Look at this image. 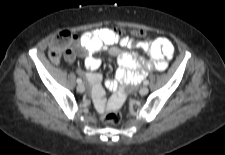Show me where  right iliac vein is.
I'll use <instances>...</instances> for the list:
<instances>
[{
	"label": "right iliac vein",
	"mask_w": 225,
	"mask_h": 155,
	"mask_svg": "<svg viewBox=\"0 0 225 155\" xmlns=\"http://www.w3.org/2000/svg\"><path fill=\"white\" fill-rule=\"evenodd\" d=\"M77 91H78L79 93H83V92L85 91V86H84L83 84H79V85L77 86Z\"/></svg>",
	"instance_id": "63e3f726"
}]
</instances>
